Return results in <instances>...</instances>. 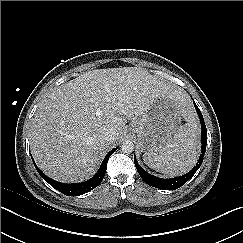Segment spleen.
Wrapping results in <instances>:
<instances>
[{
    "label": "spleen",
    "mask_w": 243,
    "mask_h": 243,
    "mask_svg": "<svg viewBox=\"0 0 243 243\" xmlns=\"http://www.w3.org/2000/svg\"><path fill=\"white\" fill-rule=\"evenodd\" d=\"M196 129L192 124L181 126L174 140L158 153L144 154L143 160L150 168L171 176L189 171L197 159Z\"/></svg>",
    "instance_id": "obj_1"
}]
</instances>
